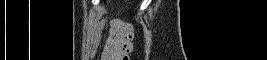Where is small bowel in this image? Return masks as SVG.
<instances>
[{
    "mask_svg": "<svg viewBox=\"0 0 267 60\" xmlns=\"http://www.w3.org/2000/svg\"><path fill=\"white\" fill-rule=\"evenodd\" d=\"M104 26H105V24H102V25L100 26V29H99V32H98V36H99V34H100V32H101V30L103 29ZM115 27H116V23H115L114 21H112V22H111V31L114 30Z\"/></svg>",
    "mask_w": 267,
    "mask_h": 60,
    "instance_id": "small-bowel-1",
    "label": "small bowel"
}]
</instances>
